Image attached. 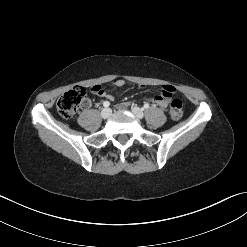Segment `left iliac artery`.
I'll list each match as a JSON object with an SVG mask.
<instances>
[{
    "mask_svg": "<svg viewBox=\"0 0 247 247\" xmlns=\"http://www.w3.org/2000/svg\"><path fill=\"white\" fill-rule=\"evenodd\" d=\"M149 108V104L148 103H145L144 104V109H148Z\"/></svg>",
    "mask_w": 247,
    "mask_h": 247,
    "instance_id": "44dca946",
    "label": "left iliac artery"
}]
</instances>
